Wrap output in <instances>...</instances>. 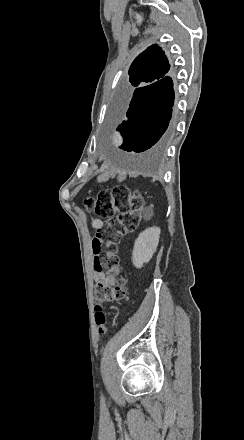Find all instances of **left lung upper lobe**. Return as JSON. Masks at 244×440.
Instances as JSON below:
<instances>
[{"label": "left lung upper lobe", "mask_w": 244, "mask_h": 440, "mask_svg": "<svg viewBox=\"0 0 244 440\" xmlns=\"http://www.w3.org/2000/svg\"><path fill=\"white\" fill-rule=\"evenodd\" d=\"M170 65L157 45H152L143 51L131 64L129 69V85L143 87L152 84L168 74Z\"/></svg>", "instance_id": "1"}]
</instances>
